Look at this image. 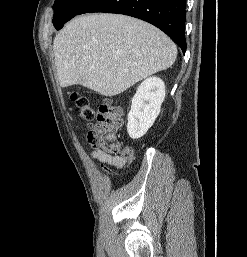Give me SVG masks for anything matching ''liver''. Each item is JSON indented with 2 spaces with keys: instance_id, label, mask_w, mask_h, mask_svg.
Wrapping results in <instances>:
<instances>
[{
  "instance_id": "1",
  "label": "liver",
  "mask_w": 247,
  "mask_h": 257,
  "mask_svg": "<svg viewBox=\"0 0 247 257\" xmlns=\"http://www.w3.org/2000/svg\"><path fill=\"white\" fill-rule=\"evenodd\" d=\"M53 50L61 87L81 84L109 97L171 67L177 57L176 45L155 26L110 13L71 20Z\"/></svg>"
}]
</instances>
